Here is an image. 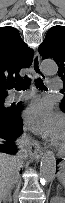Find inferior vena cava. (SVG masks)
Wrapping results in <instances>:
<instances>
[{
	"mask_svg": "<svg viewBox=\"0 0 65 203\" xmlns=\"http://www.w3.org/2000/svg\"><path fill=\"white\" fill-rule=\"evenodd\" d=\"M17 146H18V152L16 155V159H17V170L15 173H18V171L20 170V168L22 167L23 161L27 158L28 156V152L30 151V146H31V142L30 139L28 137H22L18 142H17Z\"/></svg>",
	"mask_w": 65,
	"mask_h": 203,
	"instance_id": "1",
	"label": "inferior vena cava"
}]
</instances>
